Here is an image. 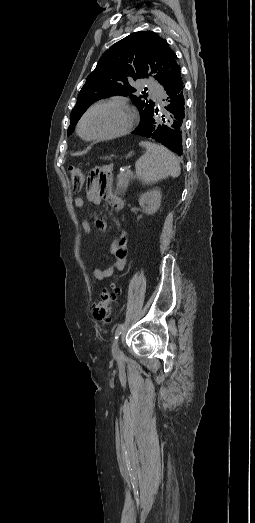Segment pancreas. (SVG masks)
I'll list each match as a JSON object with an SVG mask.
<instances>
[{"mask_svg":"<svg viewBox=\"0 0 255 523\" xmlns=\"http://www.w3.org/2000/svg\"><path fill=\"white\" fill-rule=\"evenodd\" d=\"M133 178V174L132 172L131 173H126V172H120V174H118L117 176V188L115 190V194H124V192H126V188L130 182V180H132Z\"/></svg>","mask_w":255,"mask_h":523,"instance_id":"pancreas-1","label":"pancreas"}]
</instances>
